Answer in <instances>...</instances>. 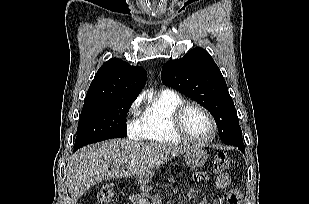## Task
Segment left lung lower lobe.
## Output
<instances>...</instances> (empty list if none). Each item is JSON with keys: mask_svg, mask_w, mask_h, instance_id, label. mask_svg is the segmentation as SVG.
<instances>
[{"mask_svg": "<svg viewBox=\"0 0 309 204\" xmlns=\"http://www.w3.org/2000/svg\"><path fill=\"white\" fill-rule=\"evenodd\" d=\"M237 147H238L241 151L244 152L245 147H244L243 143H242V144H238Z\"/></svg>", "mask_w": 309, "mask_h": 204, "instance_id": "obj_1", "label": "left lung lower lobe"}]
</instances>
